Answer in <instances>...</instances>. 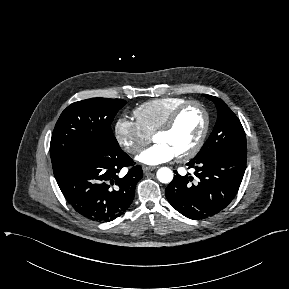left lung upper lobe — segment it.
Segmentation results:
<instances>
[{
	"instance_id": "1",
	"label": "left lung upper lobe",
	"mask_w": 289,
	"mask_h": 289,
	"mask_svg": "<svg viewBox=\"0 0 289 289\" xmlns=\"http://www.w3.org/2000/svg\"><path fill=\"white\" fill-rule=\"evenodd\" d=\"M204 96L214 102L218 117L208 140L192 160H202L225 151H246L245 132L236 115L223 100L211 95Z\"/></svg>"
}]
</instances>
